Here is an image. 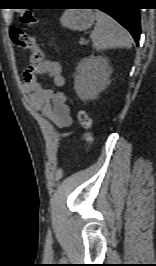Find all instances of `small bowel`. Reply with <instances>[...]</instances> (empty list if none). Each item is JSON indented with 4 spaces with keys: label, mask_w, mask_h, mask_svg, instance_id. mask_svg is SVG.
Instances as JSON below:
<instances>
[{
    "label": "small bowel",
    "mask_w": 156,
    "mask_h": 266,
    "mask_svg": "<svg viewBox=\"0 0 156 266\" xmlns=\"http://www.w3.org/2000/svg\"><path fill=\"white\" fill-rule=\"evenodd\" d=\"M39 75L49 76L57 87L63 86L65 79L61 63L56 59H47L37 65H30L24 72L23 90L29 96L30 105L41 111L56 127H70L72 118L66 95L43 87L38 80Z\"/></svg>",
    "instance_id": "small-bowel-1"
}]
</instances>
